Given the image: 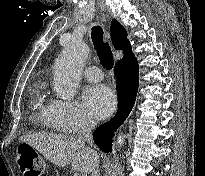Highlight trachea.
I'll return each mask as SVG.
<instances>
[{
	"mask_svg": "<svg viewBox=\"0 0 205 176\" xmlns=\"http://www.w3.org/2000/svg\"><path fill=\"white\" fill-rule=\"evenodd\" d=\"M92 42L97 51L100 63L110 70L113 67V56L108 43L103 38V29L97 25L91 31Z\"/></svg>",
	"mask_w": 205,
	"mask_h": 176,
	"instance_id": "trachea-1",
	"label": "trachea"
}]
</instances>
